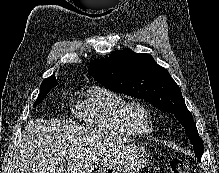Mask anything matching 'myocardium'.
<instances>
[{
    "label": "myocardium",
    "instance_id": "1",
    "mask_svg": "<svg viewBox=\"0 0 219 173\" xmlns=\"http://www.w3.org/2000/svg\"><path fill=\"white\" fill-rule=\"evenodd\" d=\"M140 109L145 114V122L139 123L135 119L134 111ZM122 119L125 124L130 127L138 135H145L150 132L151 121H152V110L149 105L140 99H131L125 101L122 107Z\"/></svg>",
    "mask_w": 219,
    "mask_h": 173
}]
</instances>
